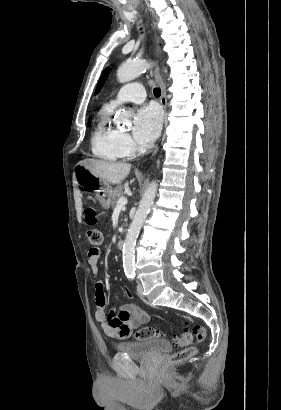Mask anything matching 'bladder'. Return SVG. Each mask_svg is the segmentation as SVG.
<instances>
[{"mask_svg": "<svg viewBox=\"0 0 281 410\" xmlns=\"http://www.w3.org/2000/svg\"><path fill=\"white\" fill-rule=\"evenodd\" d=\"M116 350L133 358L148 359L160 353L168 352L171 345L162 339H146L136 342H121L116 344Z\"/></svg>", "mask_w": 281, "mask_h": 410, "instance_id": "obj_1", "label": "bladder"}]
</instances>
